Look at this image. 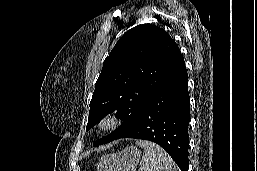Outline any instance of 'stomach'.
<instances>
[{"label":"stomach","mask_w":257,"mask_h":171,"mask_svg":"<svg viewBox=\"0 0 257 171\" xmlns=\"http://www.w3.org/2000/svg\"><path fill=\"white\" fill-rule=\"evenodd\" d=\"M141 153L131 146L121 152L102 156L97 171H136Z\"/></svg>","instance_id":"0dacf381"}]
</instances>
